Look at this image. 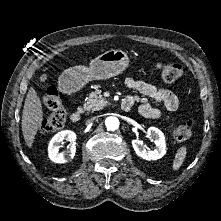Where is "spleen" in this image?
<instances>
[{"label": "spleen", "mask_w": 221, "mask_h": 221, "mask_svg": "<svg viewBox=\"0 0 221 221\" xmlns=\"http://www.w3.org/2000/svg\"><path fill=\"white\" fill-rule=\"evenodd\" d=\"M186 150L187 149L185 146H182L177 150V153L175 155L173 165H172V168L174 171L178 170L181 167V165L183 164L184 159L186 157V153H187Z\"/></svg>", "instance_id": "3e777b00"}]
</instances>
